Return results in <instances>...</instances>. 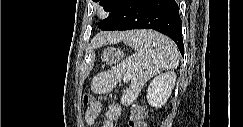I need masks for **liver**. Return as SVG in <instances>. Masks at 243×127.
<instances>
[{"label":"liver","mask_w":243,"mask_h":127,"mask_svg":"<svg viewBox=\"0 0 243 127\" xmlns=\"http://www.w3.org/2000/svg\"><path fill=\"white\" fill-rule=\"evenodd\" d=\"M133 32H112V33H101L98 34L92 41L93 46H99L106 44V42H116L124 40L130 36Z\"/></svg>","instance_id":"liver-1"}]
</instances>
